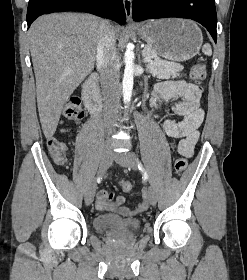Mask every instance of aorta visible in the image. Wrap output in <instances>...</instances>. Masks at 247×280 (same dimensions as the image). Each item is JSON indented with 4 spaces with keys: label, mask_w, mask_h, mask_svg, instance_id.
Instances as JSON below:
<instances>
[{
    "label": "aorta",
    "mask_w": 247,
    "mask_h": 280,
    "mask_svg": "<svg viewBox=\"0 0 247 280\" xmlns=\"http://www.w3.org/2000/svg\"><path fill=\"white\" fill-rule=\"evenodd\" d=\"M124 62L125 70L123 76L122 92L124 104L128 105L131 101L134 78V52L131 45L127 46Z\"/></svg>",
    "instance_id": "762f6f07"
}]
</instances>
